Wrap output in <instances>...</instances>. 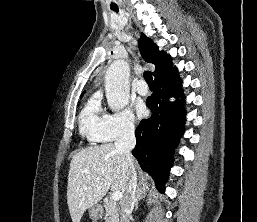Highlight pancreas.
Masks as SVG:
<instances>
[{
	"label": "pancreas",
	"mask_w": 257,
	"mask_h": 222,
	"mask_svg": "<svg viewBox=\"0 0 257 222\" xmlns=\"http://www.w3.org/2000/svg\"><path fill=\"white\" fill-rule=\"evenodd\" d=\"M105 222H119V208L114 201L105 204Z\"/></svg>",
	"instance_id": "cf45deb5"
}]
</instances>
